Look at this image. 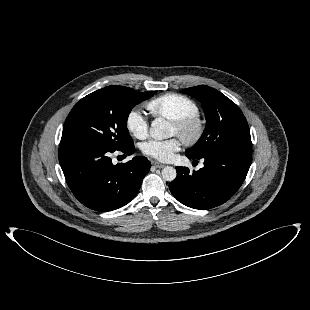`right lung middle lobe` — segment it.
Instances as JSON below:
<instances>
[{"instance_id":"obj_1","label":"right lung middle lobe","mask_w":310,"mask_h":310,"mask_svg":"<svg viewBox=\"0 0 310 310\" xmlns=\"http://www.w3.org/2000/svg\"><path fill=\"white\" fill-rule=\"evenodd\" d=\"M155 93L112 85L85 96L69 113L61 144L85 142L126 148L133 144L127 129L130 111Z\"/></svg>"}]
</instances>
